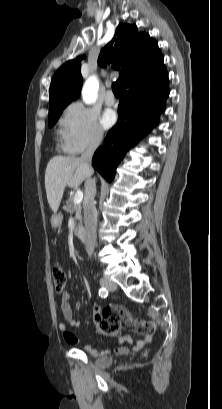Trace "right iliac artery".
<instances>
[{
  "label": "right iliac artery",
  "instance_id": "obj_1",
  "mask_svg": "<svg viewBox=\"0 0 222 409\" xmlns=\"http://www.w3.org/2000/svg\"><path fill=\"white\" fill-rule=\"evenodd\" d=\"M99 296L101 297V298H106L107 296H108V291H107V289L106 288H100L99 289Z\"/></svg>",
  "mask_w": 222,
  "mask_h": 409
}]
</instances>
